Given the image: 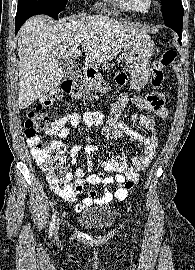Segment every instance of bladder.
<instances>
[{
    "label": "bladder",
    "instance_id": "obj_1",
    "mask_svg": "<svg viewBox=\"0 0 195 270\" xmlns=\"http://www.w3.org/2000/svg\"><path fill=\"white\" fill-rule=\"evenodd\" d=\"M116 219V209L112 206L104 205L84 210L78 218V224L85 230L101 232L112 227Z\"/></svg>",
    "mask_w": 195,
    "mask_h": 270
}]
</instances>
